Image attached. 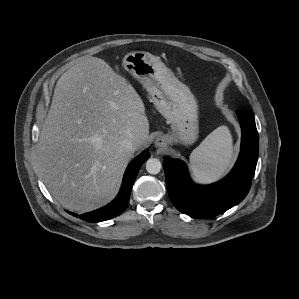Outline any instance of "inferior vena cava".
I'll list each match as a JSON object with an SVG mask.
<instances>
[{"instance_id": "inferior-vena-cava-1", "label": "inferior vena cava", "mask_w": 299, "mask_h": 299, "mask_svg": "<svg viewBox=\"0 0 299 299\" xmlns=\"http://www.w3.org/2000/svg\"><path fill=\"white\" fill-rule=\"evenodd\" d=\"M136 143H137V141L134 138L124 139L121 142V146L126 150L133 151V150H135Z\"/></svg>"}]
</instances>
